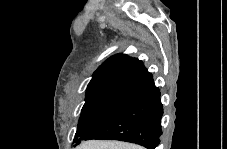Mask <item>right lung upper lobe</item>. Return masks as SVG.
Masks as SVG:
<instances>
[{"label": "right lung upper lobe", "mask_w": 227, "mask_h": 149, "mask_svg": "<svg viewBox=\"0 0 227 149\" xmlns=\"http://www.w3.org/2000/svg\"><path fill=\"white\" fill-rule=\"evenodd\" d=\"M152 79V74L140 60L125 54H116L108 58L94 72L86 94L109 86L139 89Z\"/></svg>", "instance_id": "cb5924a9"}]
</instances>
